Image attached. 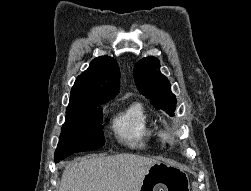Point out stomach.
<instances>
[{
    "label": "stomach",
    "mask_w": 251,
    "mask_h": 191,
    "mask_svg": "<svg viewBox=\"0 0 251 191\" xmlns=\"http://www.w3.org/2000/svg\"><path fill=\"white\" fill-rule=\"evenodd\" d=\"M140 191H190L188 175L176 165L157 161L148 169Z\"/></svg>",
    "instance_id": "stomach-1"
}]
</instances>
